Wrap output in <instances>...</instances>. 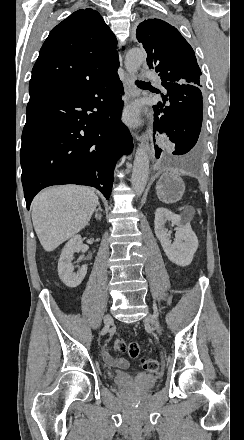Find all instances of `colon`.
<instances>
[{
    "mask_svg": "<svg viewBox=\"0 0 244 440\" xmlns=\"http://www.w3.org/2000/svg\"><path fill=\"white\" fill-rule=\"evenodd\" d=\"M112 352L114 354H123L127 352L131 358H136L141 353V346L139 343L127 344L123 338L119 337L112 343ZM141 365L150 374H156L159 370V362L153 357L142 358Z\"/></svg>",
    "mask_w": 244,
    "mask_h": 440,
    "instance_id": "colon-1",
    "label": "colon"
}]
</instances>
